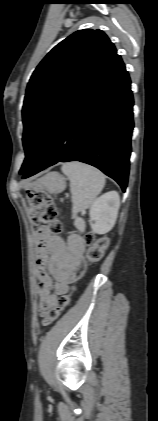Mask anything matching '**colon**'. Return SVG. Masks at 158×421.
<instances>
[{
    "mask_svg": "<svg viewBox=\"0 0 158 421\" xmlns=\"http://www.w3.org/2000/svg\"><path fill=\"white\" fill-rule=\"evenodd\" d=\"M28 203L32 211V222L37 231L46 230L52 234H59L62 231L61 222L57 218V208L53 198L41 188H35L28 192ZM88 245L87 259L91 263L98 262L104 256L108 246V239L105 236L97 237L94 234L86 235ZM71 295H62L58 298L54 307L43 312V324L50 325L55 322L61 313L67 308Z\"/></svg>",
    "mask_w": 158,
    "mask_h": 421,
    "instance_id": "obj_1",
    "label": "colon"
}]
</instances>
